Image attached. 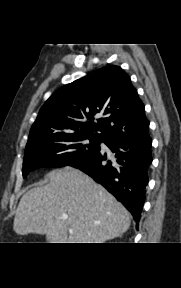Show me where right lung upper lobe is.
<instances>
[{"label": "right lung upper lobe", "instance_id": "cb5924a9", "mask_svg": "<svg viewBox=\"0 0 181 288\" xmlns=\"http://www.w3.org/2000/svg\"><path fill=\"white\" fill-rule=\"evenodd\" d=\"M148 127L130 77L112 65L58 89L40 109L28 141L51 134L135 139L147 135Z\"/></svg>", "mask_w": 181, "mask_h": 288}]
</instances>
